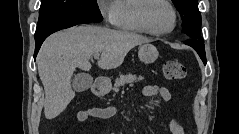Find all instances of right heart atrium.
Listing matches in <instances>:
<instances>
[{"label":"right heart atrium","instance_id":"d8ad5b80","mask_svg":"<svg viewBox=\"0 0 239 134\" xmlns=\"http://www.w3.org/2000/svg\"><path fill=\"white\" fill-rule=\"evenodd\" d=\"M98 9L108 25H115L117 14L116 1L100 0L98 2Z\"/></svg>","mask_w":239,"mask_h":134}]
</instances>
